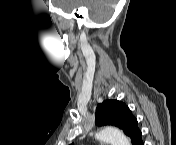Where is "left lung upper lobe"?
Returning <instances> with one entry per match:
<instances>
[{"instance_id":"obj_1","label":"left lung upper lobe","mask_w":176,"mask_h":145,"mask_svg":"<svg viewBox=\"0 0 176 145\" xmlns=\"http://www.w3.org/2000/svg\"><path fill=\"white\" fill-rule=\"evenodd\" d=\"M95 123L98 126L112 125L119 127L131 138V141L141 133L137 125V119L121 101L105 100L97 105Z\"/></svg>"}]
</instances>
